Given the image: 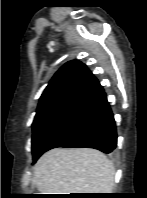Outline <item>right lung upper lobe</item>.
<instances>
[{"instance_id":"right-lung-upper-lobe-1","label":"right lung upper lobe","mask_w":147,"mask_h":198,"mask_svg":"<svg viewBox=\"0 0 147 198\" xmlns=\"http://www.w3.org/2000/svg\"><path fill=\"white\" fill-rule=\"evenodd\" d=\"M100 84L80 61H69L53 76L44 90L38 109L52 105H75Z\"/></svg>"}]
</instances>
